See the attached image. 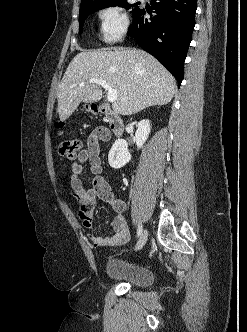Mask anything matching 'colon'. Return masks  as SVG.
<instances>
[{"instance_id": "5ec220e1", "label": "colon", "mask_w": 247, "mask_h": 332, "mask_svg": "<svg viewBox=\"0 0 247 332\" xmlns=\"http://www.w3.org/2000/svg\"><path fill=\"white\" fill-rule=\"evenodd\" d=\"M90 112L96 114L97 109L91 107ZM58 126H61V124L59 123ZM80 148H81V141L78 138L60 136L58 139L57 151L61 157L67 159H73L79 153ZM92 207L93 206L91 204L83 205L80 213L86 217L90 213Z\"/></svg>"}]
</instances>
